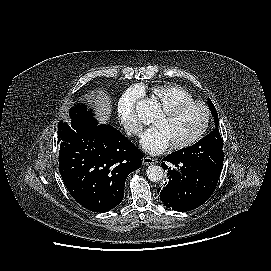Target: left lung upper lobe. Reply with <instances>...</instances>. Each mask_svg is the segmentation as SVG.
Wrapping results in <instances>:
<instances>
[{
  "mask_svg": "<svg viewBox=\"0 0 271 271\" xmlns=\"http://www.w3.org/2000/svg\"><path fill=\"white\" fill-rule=\"evenodd\" d=\"M208 105L211 110V114L214 117L216 129L196 144L178 150L173 154L181 159L200 163L209 170L220 175L224 160L223 140L221 139V135L218 130V114L210 99H208Z\"/></svg>",
  "mask_w": 271,
  "mask_h": 271,
  "instance_id": "obj_1",
  "label": "left lung upper lobe"
}]
</instances>
